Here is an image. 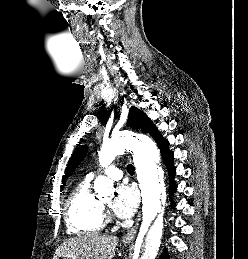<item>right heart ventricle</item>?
<instances>
[{"instance_id":"e07e8e85","label":"right heart ventricle","mask_w":248,"mask_h":259,"mask_svg":"<svg viewBox=\"0 0 248 259\" xmlns=\"http://www.w3.org/2000/svg\"><path fill=\"white\" fill-rule=\"evenodd\" d=\"M66 225L73 234L97 233L104 225L102 203L90 190V179L81 181L70 194L66 207Z\"/></svg>"}]
</instances>
